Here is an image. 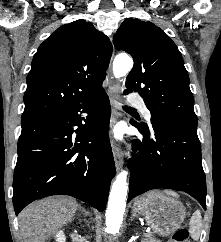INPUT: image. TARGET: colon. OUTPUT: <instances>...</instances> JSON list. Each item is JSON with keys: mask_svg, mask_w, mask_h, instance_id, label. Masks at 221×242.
Here are the masks:
<instances>
[{"mask_svg": "<svg viewBox=\"0 0 221 242\" xmlns=\"http://www.w3.org/2000/svg\"><path fill=\"white\" fill-rule=\"evenodd\" d=\"M170 242H190L187 229H178L173 235Z\"/></svg>", "mask_w": 221, "mask_h": 242, "instance_id": "5ec220e1", "label": "colon"}]
</instances>
